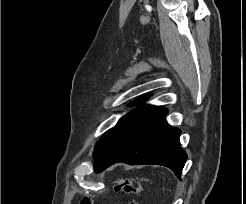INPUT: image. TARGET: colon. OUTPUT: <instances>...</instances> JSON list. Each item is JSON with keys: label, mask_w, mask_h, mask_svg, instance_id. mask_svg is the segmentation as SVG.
<instances>
[{"label": "colon", "mask_w": 246, "mask_h": 204, "mask_svg": "<svg viewBox=\"0 0 246 204\" xmlns=\"http://www.w3.org/2000/svg\"><path fill=\"white\" fill-rule=\"evenodd\" d=\"M114 189L116 191H123L129 196H135L139 192V187L136 181L131 178H119L114 182ZM80 204H93L89 197H84ZM129 204H137L135 200H131Z\"/></svg>", "instance_id": "colon-1"}]
</instances>
